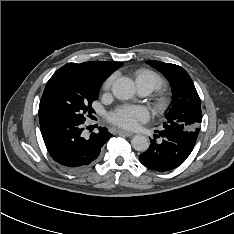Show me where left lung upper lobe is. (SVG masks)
Masks as SVG:
<instances>
[{
	"label": "left lung upper lobe",
	"instance_id": "1",
	"mask_svg": "<svg viewBox=\"0 0 234 234\" xmlns=\"http://www.w3.org/2000/svg\"><path fill=\"white\" fill-rule=\"evenodd\" d=\"M147 64L159 70L169 80L174 105L167 114L164 130L180 134L196 143L202 121L200 98L189 74L180 66L149 60Z\"/></svg>",
	"mask_w": 234,
	"mask_h": 234
}]
</instances>
